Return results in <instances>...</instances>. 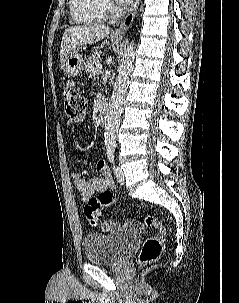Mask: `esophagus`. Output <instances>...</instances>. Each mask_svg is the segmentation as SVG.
I'll list each match as a JSON object with an SVG mask.
<instances>
[{
	"label": "esophagus",
	"instance_id": "esophagus-1",
	"mask_svg": "<svg viewBox=\"0 0 239 303\" xmlns=\"http://www.w3.org/2000/svg\"><path fill=\"white\" fill-rule=\"evenodd\" d=\"M139 4H140V0H133L127 15L121 22L120 26L113 32L112 35L114 37L122 38L125 36L126 32L131 27L134 21Z\"/></svg>",
	"mask_w": 239,
	"mask_h": 303
}]
</instances>
